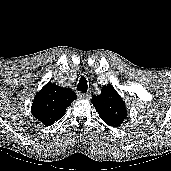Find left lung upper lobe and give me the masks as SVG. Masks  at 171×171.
<instances>
[{"label":"left lung upper lobe","instance_id":"left-lung-upper-lobe-1","mask_svg":"<svg viewBox=\"0 0 171 171\" xmlns=\"http://www.w3.org/2000/svg\"><path fill=\"white\" fill-rule=\"evenodd\" d=\"M100 118L112 127L120 126L127 116L125 104L112 85L104 86L100 95L91 99Z\"/></svg>","mask_w":171,"mask_h":171}]
</instances>
